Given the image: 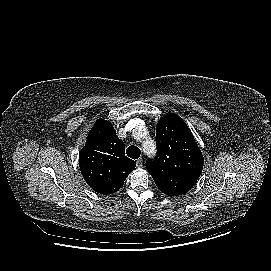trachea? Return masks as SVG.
<instances>
[{
	"mask_svg": "<svg viewBox=\"0 0 271 271\" xmlns=\"http://www.w3.org/2000/svg\"><path fill=\"white\" fill-rule=\"evenodd\" d=\"M126 152H127V155L132 159H138L141 154L140 149L136 146H129Z\"/></svg>",
	"mask_w": 271,
	"mask_h": 271,
	"instance_id": "obj_1",
	"label": "trachea"
}]
</instances>
